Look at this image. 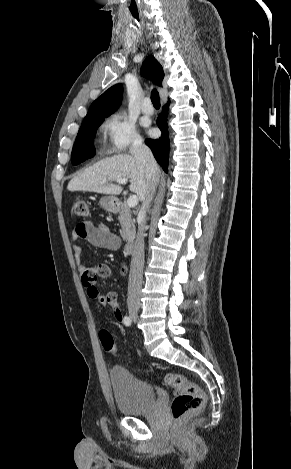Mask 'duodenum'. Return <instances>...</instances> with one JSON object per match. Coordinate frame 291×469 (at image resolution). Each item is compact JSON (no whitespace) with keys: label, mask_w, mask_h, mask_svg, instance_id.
I'll return each instance as SVG.
<instances>
[{"label":"duodenum","mask_w":291,"mask_h":469,"mask_svg":"<svg viewBox=\"0 0 291 469\" xmlns=\"http://www.w3.org/2000/svg\"><path fill=\"white\" fill-rule=\"evenodd\" d=\"M115 208L118 209L119 208V203H115L114 204ZM134 250V241L132 239L128 240L125 244V251L127 253H131L132 251Z\"/></svg>","instance_id":"duodenum-1"}]
</instances>
